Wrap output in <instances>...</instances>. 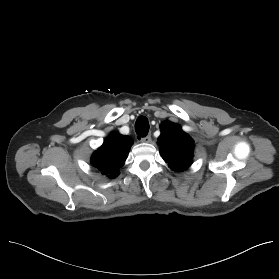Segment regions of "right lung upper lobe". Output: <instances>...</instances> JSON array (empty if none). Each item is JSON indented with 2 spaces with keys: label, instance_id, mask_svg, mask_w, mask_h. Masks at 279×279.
Returning a JSON list of instances; mask_svg holds the SVG:
<instances>
[{
  "label": "right lung upper lobe",
  "instance_id": "cb5924a9",
  "mask_svg": "<svg viewBox=\"0 0 279 279\" xmlns=\"http://www.w3.org/2000/svg\"><path fill=\"white\" fill-rule=\"evenodd\" d=\"M133 140L119 133H111L91 157V164L109 178L119 175Z\"/></svg>",
  "mask_w": 279,
  "mask_h": 279
}]
</instances>
